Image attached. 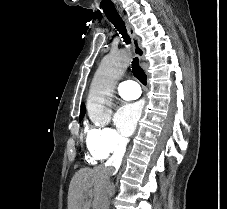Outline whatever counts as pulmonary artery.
<instances>
[{
	"mask_svg": "<svg viewBox=\"0 0 227 209\" xmlns=\"http://www.w3.org/2000/svg\"><path fill=\"white\" fill-rule=\"evenodd\" d=\"M117 93L125 100H133L139 96L140 88L138 84L121 83L117 87Z\"/></svg>",
	"mask_w": 227,
	"mask_h": 209,
	"instance_id": "pulmonary-artery-1",
	"label": "pulmonary artery"
}]
</instances>
